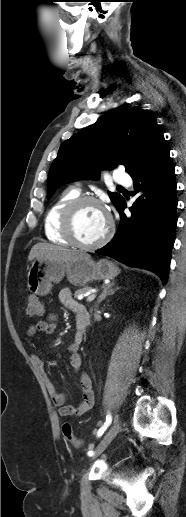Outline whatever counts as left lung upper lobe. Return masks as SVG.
I'll return each mask as SVG.
<instances>
[{"label":"left lung upper lobe","instance_id":"1","mask_svg":"<svg viewBox=\"0 0 186 517\" xmlns=\"http://www.w3.org/2000/svg\"><path fill=\"white\" fill-rule=\"evenodd\" d=\"M164 138L153 114L139 107H118L95 124L64 141L54 159L48 177L47 198L66 183L96 178L100 170L124 165L131 174ZM119 205L123 197L109 192Z\"/></svg>","mask_w":186,"mask_h":517}]
</instances>
